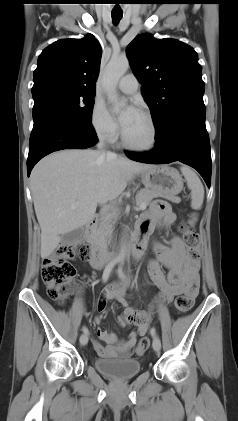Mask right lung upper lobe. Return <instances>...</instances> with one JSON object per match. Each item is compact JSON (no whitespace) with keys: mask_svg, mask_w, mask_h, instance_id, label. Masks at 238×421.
<instances>
[{"mask_svg":"<svg viewBox=\"0 0 238 421\" xmlns=\"http://www.w3.org/2000/svg\"><path fill=\"white\" fill-rule=\"evenodd\" d=\"M101 54V46L91 34L83 39L58 40L38 57L34 86L56 82L95 90Z\"/></svg>","mask_w":238,"mask_h":421,"instance_id":"1","label":"right lung upper lobe"}]
</instances>
